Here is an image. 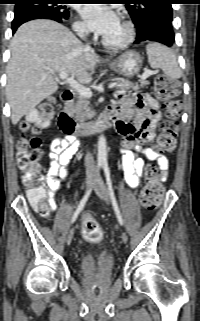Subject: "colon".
<instances>
[{
  "label": "colon",
  "instance_id": "1",
  "mask_svg": "<svg viewBox=\"0 0 200 321\" xmlns=\"http://www.w3.org/2000/svg\"><path fill=\"white\" fill-rule=\"evenodd\" d=\"M155 94L164 102L167 115V120L160 126L155 147L160 153H170L176 146L177 120L181 109L180 102L176 99L179 94V84L176 80L161 74L155 80ZM54 108V101L48 99L37 110L29 114L28 120L22 125V136L16 154L17 165L21 171L22 182L27 189L29 201L43 217L49 216L51 209L44 202V191L38 185L43 153L42 143L37 134L49 124L54 115ZM146 177L147 182L141 191L140 202L145 209L152 211L159 206L164 188L155 167L146 168ZM82 235L87 241L97 243L101 241L103 232L93 218L85 216L82 222Z\"/></svg>",
  "mask_w": 200,
  "mask_h": 321
}]
</instances>
